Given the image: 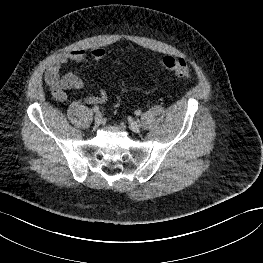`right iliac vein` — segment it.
Segmentation results:
<instances>
[{
	"label": "right iliac vein",
	"instance_id": "63e3f726",
	"mask_svg": "<svg viewBox=\"0 0 263 263\" xmlns=\"http://www.w3.org/2000/svg\"><path fill=\"white\" fill-rule=\"evenodd\" d=\"M94 120H95V124L96 125H100L101 121H102V115L101 113H96L95 114V117H94Z\"/></svg>",
	"mask_w": 263,
	"mask_h": 263
}]
</instances>
